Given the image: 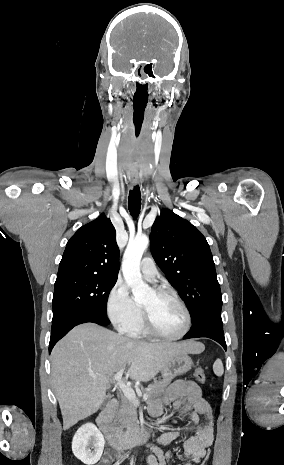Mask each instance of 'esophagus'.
Here are the masks:
<instances>
[{"label":"esophagus","instance_id":"1","mask_svg":"<svg viewBox=\"0 0 284 465\" xmlns=\"http://www.w3.org/2000/svg\"><path fill=\"white\" fill-rule=\"evenodd\" d=\"M138 184V174L137 172H132V175H131V185L132 186H136Z\"/></svg>","mask_w":284,"mask_h":465}]
</instances>
